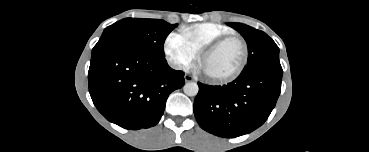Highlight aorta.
I'll return each mask as SVG.
<instances>
[{
    "mask_svg": "<svg viewBox=\"0 0 369 152\" xmlns=\"http://www.w3.org/2000/svg\"><path fill=\"white\" fill-rule=\"evenodd\" d=\"M183 91L187 96H196L199 91V87L195 82H187L183 86Z\"/></svg>",
    "mask_w": 369,
    "mask_h": 152,
    "instance_id": "1",
    "label": "aorta"
}]
</instances>
